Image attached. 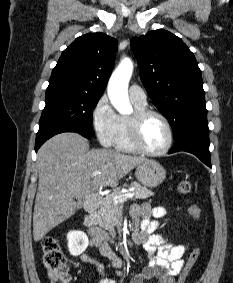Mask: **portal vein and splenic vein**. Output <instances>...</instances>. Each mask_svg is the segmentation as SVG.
Wrapping results in <instances>:
<instances>
[{
	"mask_svg": "<svg viewBox=\"0 0 233 283\" xmlns=\"http://www.w3.org/2000/svg\"><path fill=\"white\" fill-rule=\"evenodd\" d=\"M99 174H101V172L95 171V172L92 173V176H97V175H99ZM133 197H134V193H127V194L115 196V197H114V201H115L116 203H118V202H124V201H126V200H128V199H131V198H133Z\"/></svg>",
	"mask_w": 233,
	"mask_h": 283,
	"instance_id": "portal-vein-and-splenic-vein-1",
	"label": "portal vein and splenic vein"
}]
</instances>
